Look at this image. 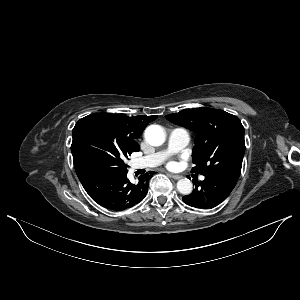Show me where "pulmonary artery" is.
<instances>
[{"label": "pulmonary artery", "instance_id": "1", "mask_svg": "<svg viewBox=\"0 0 300 300\" xmlns=\"http://www.w3.org/2000/svg\"><path fill=\"white\" fill-rule=\"evenodd\" d=\"M190 141V134L184 128H174L171 130L168 136L167 149L156 152L152 155L138 158L132 162L134 169H144L150 167H156L160 165L167 155L172 152H177L183 149ZM204 180V177H201Z\"/></svg>", "mask_w": 300, "mask_h": 300}]
</instances>
